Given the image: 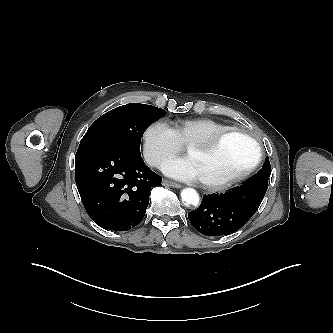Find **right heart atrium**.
Masks as SVG:
<instances>
[{"mask_svg": "<svg viewBox=\"0 0 333 333\" xmlns=\"http://www.w3.org/2000/svg\"><path fill=\"white\" fill-rule=\"evenodd\" d=\"M146 160L155 167L162 166L183 148L174 130L164 121L148 125L143 134Z\"/></svg>", "mask_w": 333, "mask_h": 333, "instance_id": "obj_1", "label": "right heart atrium"}]
</instances>
